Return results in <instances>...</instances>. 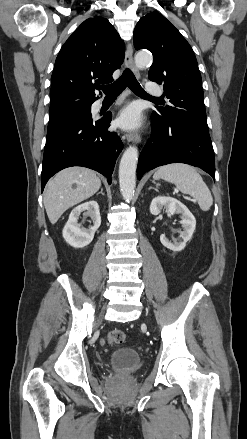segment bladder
<instances>
[{"instance_id": "31cf9c89", "label": "bladder", "mask_w": 247, "mask_h": 439, "mask_svg": "<svg viewBox=\"0 0 247 439\" xmlns=\"http://www.w3.org/2000/svg\"><path fill=\"white\" fill-rule=\"evenodd\" d=\"M109 364L117 373H131L141 366V356L133 348H122L110 355Z\"/></svg>"}]
</instances>
